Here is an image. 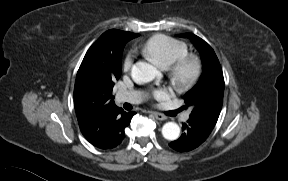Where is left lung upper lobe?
Segmentation results:
<instances>
[{"label": "left lung upper lobe", "mask_w": 288, "mask_h": 181, "mask_svg": "<svg viewBox=\"0 0 288 181\" xmlns=\"http://www.w3.org/2000/svg\"><path fill=\"white\" fill-rule=\"evenodd\" d=\"M181 37L189 38L201 54L203 74L199 82L184 95L187 106H191L190 117L216 124L223 103L224 78L219 60L209 44L190 33Z\"/></svg>", "instance_id": "5c2ea615"}]
</instances>
